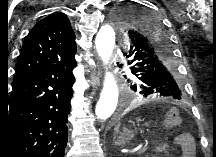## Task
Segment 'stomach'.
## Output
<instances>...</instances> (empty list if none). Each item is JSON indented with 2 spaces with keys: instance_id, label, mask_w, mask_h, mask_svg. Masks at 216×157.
<instances>
[{
  "instance_id": "stomach-1",
  "label": "stomach",
  "mask_w": 216,
  "mask_h": 157,
  "mask_svg": "<svg viewBox=\"0 0 216 157\" xmlns=\"http://www.w3.org/2000/svg\"><path fill=\"white\" fill-rule=\"evenodd\" d=\"M134 134L130 130H125L115 142L117 145H123L133 138Z\"/></svg>"
}]
</instances>
